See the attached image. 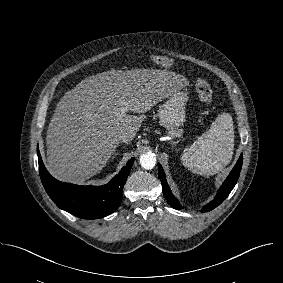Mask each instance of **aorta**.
Here are the masks:
<instances>
[{"instance_id": "1", "label": "aorta", "mask_w": 283, "mask_h": 283, "mask_svg": "<svg viewBox=\"0 0 283 283\" xmlns=\"http://www.w3.org/2000/svg\"><path fill=\"white\" fill-rule=\"evenodd\" d=\"M139 163L144 169H152L156 165V156L150 152L142 154L139 158Z\"/></svg>"}]
</instances>
